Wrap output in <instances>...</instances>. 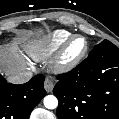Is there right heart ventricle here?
I'll return each instance as SVG.
<instances>
[{"label": "right heart ventricle", "mask_w": 119, "mask_h": 119, "mask_svg": "<svg viewBox=\"0 0 119 119\" xmlns=\"http://www.w3.org/2000/svg\"><path fill=\"white\" fill-rule=\"evenodd\" d=\"M71 33L58 29L35 43L27 46L29 55L35 60H44L51 56L69 37Z\"/></svg>", "instance_id": "right-heart-ventricle-1"}]
</instances>
